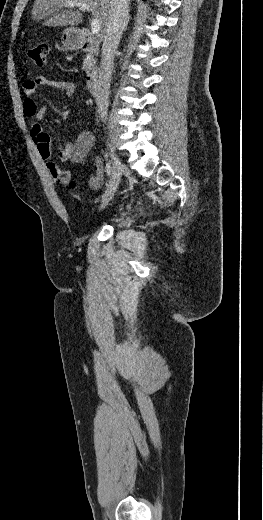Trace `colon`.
Wrapping results in <instances>:
<instances>
[{
    "label": "colon",
    "instance_id": "1",
    "mask_svg": "<svg viewBox=\"0 0 263 520\" xmlns=\"http://www.w3.org/2000/svg\"><path fill=\"white\" fill-rule=\"evenodd\" d=\"M47 51L48 47L45 43H38L34 47L28 49L27 56L36 65L43 66L46 63ZM68 186L71 190H75L76 188V184L73 181H71Z\"/></svg>",
    "mask_w": 263,
    "mask_h": 520
}]
</instances>
